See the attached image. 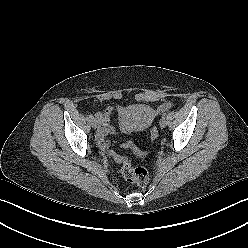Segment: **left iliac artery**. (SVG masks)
<instances>
[{
	"mask_svg": "<svg viewBox=\"0 0 248 248\" xmlns=\"http://www.w3.org/2000/svg\"><path fill=\"white\" fill-rule=\"evenodd\" d=\"M166 116H167L166 113H164L163 116H162V118H166Z\"/></svg>",
	"mask_w": 248,
	"mask_h": 248,
	"instance_id": "44dca946",
	"label": "left iliac artery"
}]
</instances>
